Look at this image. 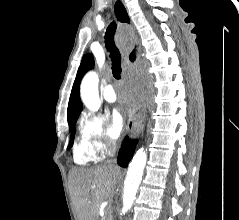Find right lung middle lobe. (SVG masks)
<instances>
[{"label": "right lung middle lobe", "instance_id": "right-lung-middle-lobe-1", "mask_svg": "<svg viewBox=\"0 0 239 220\" xmlns=\"http://www.w3.org/2000/svg\"><path fill=\"white\" fill-rule=\"evenodd\" d=\"M78 118H76L75 120L71 121V122H68L69 123V127H70V132H72L71 136H70V145L72 146L73 145V141H74V135H75V130H74V127H75V124H76V121H77Z\"/></svg>", "mask_w": 239, "mask_h": 220}]
</instances>
